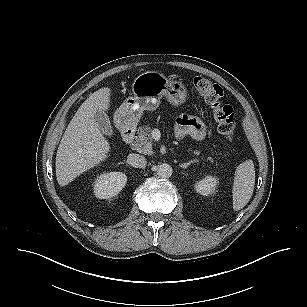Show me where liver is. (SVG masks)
Wrapping results in <instances>:
<instances>
[{"instance_id": "1", "label": "liver", "mask_w": 307, "mask_h": 307, "mask_svg": "<svg viewBox=\"0 0 307 307\" xmlns=\"http://www.w3.org/2000/svg\"><path fill=\"white\" fill-rule=\"evenodd\" d=\"M110 95L108 87L95 91L66 128L56 154V177L60 186H66L108 157L110 145L96 124L94 114L108 110Z\"/></svg>"}]
</instances>
